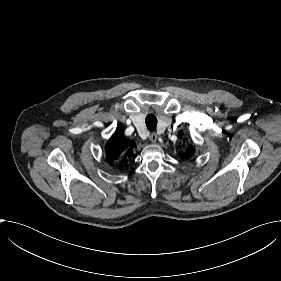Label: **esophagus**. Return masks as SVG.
Returning <instances> with one entry per match:
<instances>
[{"label":"esophagus","instance_id":"esophagus-1","mask_svg":"<svg viewBox=\"0 0 281 281\" xmlns=\"http://www.w3.org/2000/svg\"><path fill=\"white\" fill-rule=\"evenodd\" d=\"M149 139L153 143L156 142L157 141V134L155 132H151L150 136H149Z\"/></svg>","mask_w":281,"mask_h":281}]
</instances>
